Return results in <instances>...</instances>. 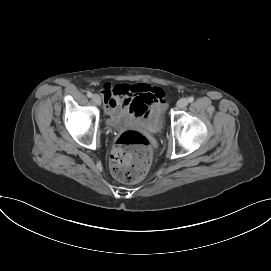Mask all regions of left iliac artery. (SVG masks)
<instances>
[{
  "label": "left iliac artery",
  "instance_id": "obj_1",
  "mask_svg": "<svg viewBox=\"0 0 271 271\" xmlns=\"http://www.w3.org/2000/svg\"><path fill=\"white\" fill-rule=\"evenodd\" d=\"M188 101H189V102H193V101H194V97H192V96L189 97V98H188Z\"/></svg>",
  "mask_w": 271,
  "mask_h": 271
}]
</instances>
